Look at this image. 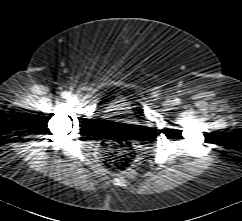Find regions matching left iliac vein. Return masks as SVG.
Returning a JSON list of instances; mask_svg holds the SVG:
<instances>
[{
  "label": "left iliac vein",
  "mask_w": 242,
  "mask_h": 221,
  "mask_svg": "<svg viewBox=\"0 0 242 221\" xmlns=\"http://www.w3.org/2000/svg\"><path fill=\"white\" fill-rule=\"evenodd\" d=\"M171 104V101H167V105H170Z\"/></svg>",
  "instance_id": "4c4485c4"
}]
</instances>
